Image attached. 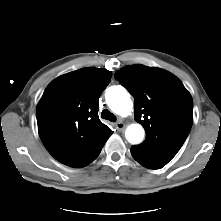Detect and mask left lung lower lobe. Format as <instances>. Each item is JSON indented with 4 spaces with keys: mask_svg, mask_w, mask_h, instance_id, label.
Returning a JSON list of instances; mask_svg holds the SVG:
<instances>
[{
    "mask_svg": "<svg viewBox=\"0 0 221 221\" xmlns=\"http://www.w3.org/2000/svg\"><path fill=\"white\" fill-rule=\"evenodd\" d=\"M131 154L137 162L149 169H160L173 158L144 144L132 146Z\"/></svg>",
    "mask_w": 221,
    "mask_h": 221,
    "instance_id": "obj_1",
    "label": "left lung lower lobe"
}]
</instances>
